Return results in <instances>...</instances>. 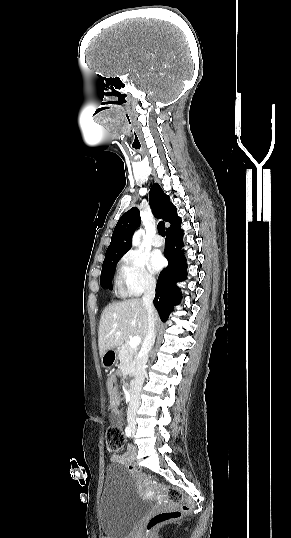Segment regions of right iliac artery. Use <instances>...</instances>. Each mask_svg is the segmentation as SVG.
Segmentation results:
<instances>
[{
	"label": "right iliac artery",
	"instance_id": "obj_1",
	"mask_svg": "<svg viewBox=\"0 0 291 538\" xmlns=\"http://www.w3.org/2000/svg\"><path fill=\"white\" fill-rule=\"evenodd\" d=\"M125 433H126V436H127V437H130V436H131V429H130L129 426H127V427L125 428Z\"/></svg>",
	"mask_w": 291,
	"mask_h": 538
}]
</instances>
